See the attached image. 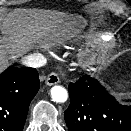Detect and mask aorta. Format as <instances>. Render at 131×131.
I'll list each match as a JSON object with an SVG mask.
<instances>
[{"instance_id":"obj_1","label":"aorta","mask_w":131,"mask_h":131,"mask_svg":"<svg viewBox=\"0 0 131 131\" xmlns=\"http://www.w3.org/2000/svg\"><path fill=\"white\" fill-rule=\"evenodd\" d=\"M51 97L54 102L63 103L68 98L66 89L62 86H54L51 89Z\"/></svg>"}]
</instances>
